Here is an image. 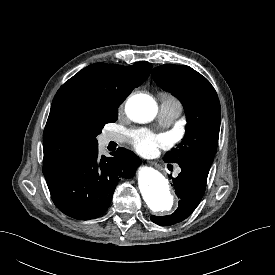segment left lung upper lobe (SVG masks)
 Segmentation results:
<instances>
[{
	"instance_id": "obj_1",
	"label": "left lung upper lobe",
	"mask_w": 275,
	"mask_h": 275,
	"mask_svg": "<svg viewBox=\"0 0 275 275\" xmlns=\"http://www.w3.org/2000/svg\"><path fill=\"white\" fill-rule=\"evenodd\" d=\"M154 81L182 103L186 118V134L164 161L198 163L210 168L218 146L221 108L211 83L189 66L162 65L152 72Z\"/></svg>"
}]
</instances>
